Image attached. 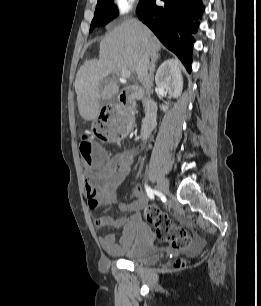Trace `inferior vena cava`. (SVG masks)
Segmentation results:
<instances>
[{"instance_id":"obj_1","label":"inferior vena cava","mask_w":261,"mask_h":306,"mask_svg":"<svg viewBox=\"0 0 261 306\" xmlns=\"http://www.w3.org/2000/svg\"><path fill=\"white\" fill-rule=\"evenodd\" d=\"M149 69H150L149 55L148 53H144L137 63L136 73L139 81L142 83L145 89L151 92L153 86V78L150 76V73H148Z\"/></svg>"}]
</instances>
